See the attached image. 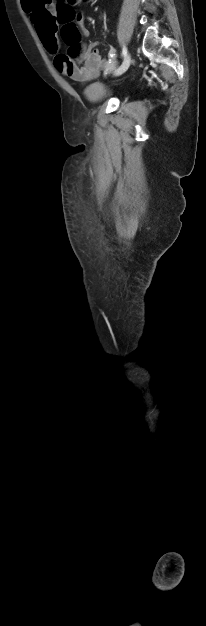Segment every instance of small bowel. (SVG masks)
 Returning <instances> with one entry per match:
<instances>
[{
	"label": "small bowel",
	"mask_w": 206,
	"mask_h": 626,
	"mask_svg": "<svg viewBox=\"0 0 206 626\" xmlns=\"http://www.w3.org/2000/svg\"><path fill=\"white\" fill-rule=\"evenodd\" d=\"M40 8L27 7L31 15V20L46 50L54 57V66L59 73L79 83H85L98 77L99 73L107 71L113 65L116 58V50L110 46L106 58H103L100 51L95 49L88 53L83 65L69 60L65 55L57 52V23L59 14L50 0H40ZM77 24L81 27L84 36L89 32L84 28L85 14L80 11L76 14Z\"/></svg>",
	"instance_id": "c3829d8e"
}]
</instances>
